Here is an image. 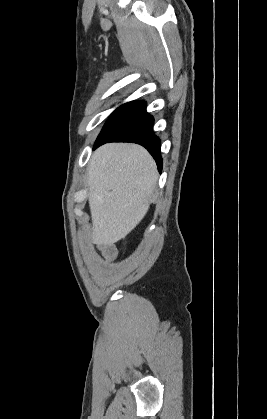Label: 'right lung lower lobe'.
Listing matches in <instances>:
<instances>
[{"mask_svg":"<svg viewBox=\"0 0 267 419\" xmlns=\"http://www.w3.org/2000/svg\"><path fill=\"white\" fill-rule=\"evenodd\" d=\"M144 101H132L121 105L110 116L97 137L94 148L107 142H132L145 147L162 170L160 139L154 135V119L146 112Z\"/></svg>","mask_w":267,"mask_h":419,"instance_id":"right-lung-lower-lobe-1","label":"right lung lower lobe"}]
</instances>
